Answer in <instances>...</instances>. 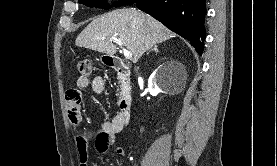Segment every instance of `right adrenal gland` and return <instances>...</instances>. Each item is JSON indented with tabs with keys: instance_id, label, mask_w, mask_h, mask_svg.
Masks as SVG:
<instances>
[{
	"instance_id": "right-adrenal-gland-1",
	"label": "right adrenal gland",
	"mask_w": 277,
	"mask_h": 166,
	"mask_svg": "<svg viewBox=\"0 0 277 166\" xmlns=\"http://www.w3.org/2000/svg\"><path fill=\"white\" fill-rule=\"evenodd\" d=\"M151 51H154L156 54L159 52L158 47L156 45L153 46V48L149 52H147V54H149Z\"/></svg>"
}]
</instances>
